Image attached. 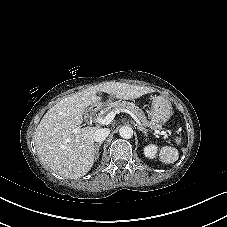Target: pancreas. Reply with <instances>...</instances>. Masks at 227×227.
<instances>
[{"label":"pancreas","instance_id":"cf45deb5","mask_svg":"<svg viewBox=\"0 0 227 227\" xmlns=\"http://www.w3.org/2000/svg\"><path fill=\"white\" fill-rule=\"evenodd\" d=\"M126 109L134 113L139 121L145 126L150 127L151 129H161V125L158 123H155L154 121H148L144 112L142 109H140L138 106H136L134 103L122 101V102H114L108 107H106L103 111L104 113L107 112H114L117 110Z\"/></svg>","mask_w":227,"mask_h":227}]
</instances>
